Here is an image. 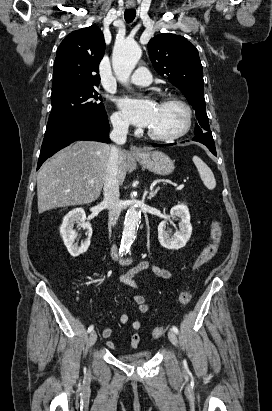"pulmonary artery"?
<instances>
[{
	"instance_id": "pulmonary-artery-1",
	"label": "pulmonary artery",
	"mask_w": 272,
	"mask_h": 411,
	"mask_svg": "<svg viewBox=\"0 0 272 411\" xmlns=\"http://www.w3.org/2000/svg\"><path fill=\"white\" fill-rule=\"evenodd\" d=\"M131 82L137 86H148L152 83V76L147 68L139 67L132 75Z\"/></svg>"
}]
</instances>
